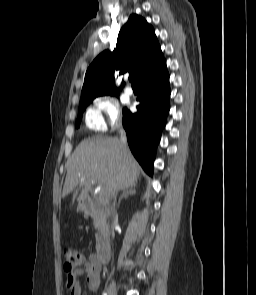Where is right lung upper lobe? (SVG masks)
Wrapping results in <instances>:
<instances>
[{
  "mask_svg": "<svg viewBox=\"0 0 256 295\" xmlns=\"http://www.w3.org/2000/svg\"><path fill=\"white\" fill-rule=\"evenodd\" d=\"M163 60L154 29L145 19L133 14L119 32L116 49L112 53L103 51L89 66L81 98L113 94L115 68L120 74L132 73L137 82Z\"/></svg>",
  "mask_w": 256,
  "mask_h": 295,
  "instance_id": "right-lung-upper-lobe-1",
  "label": "right lung upper lobe"
}]
</instances>
